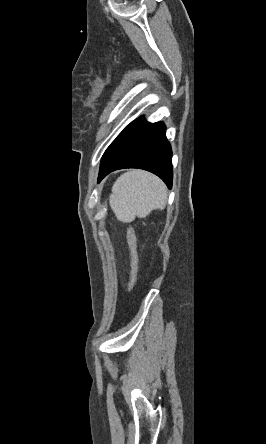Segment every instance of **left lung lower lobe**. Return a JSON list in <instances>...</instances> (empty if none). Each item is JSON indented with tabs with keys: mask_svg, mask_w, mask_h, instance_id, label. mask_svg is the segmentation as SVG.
Returning <instances> with one entry per match:
<instances>
[{
	"mask_svg": "<svg viewBox=\"0 0 266 444\" xmlns=\"http://www.w3.org/2000/svg\"><path fill=\"white\" fill-rule=\"evenodd\" d=\"M123 168L150 171L172 188V151L162 122L149 123L138 118L130 123L105 151L98 182Z\"/></svg>",
	"mask_w": 266,
	"mask_h": 444,
	"instance_id": "obj_1",
	"label": "left lung lower lobe"
}]
</instances>
